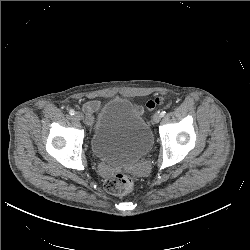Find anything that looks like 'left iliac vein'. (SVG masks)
<instances>
[{
  "mask_svg": "<svg viewBox=\"0 0 250 250\" xmlns=\"http://www.w3.org/2000/svg\"><path fill=\"white\" fill-rule=\"evenodd\" d=\"M160 120H161V115H160V113H155V114L153 115V121H154V123H159Z\"/></svg>",
  "mask_w": 250,
  "mask_h": 250,
  "instance_id": "1",
  "label": "left iliac vein"
}]
</instances>
